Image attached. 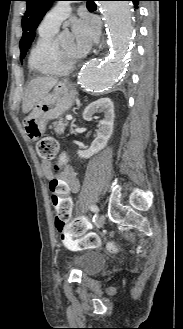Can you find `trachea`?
<instances>
[{"mask_svg": "<svg viewBox=\"0 0 183 329\" xmlns=\"http://www.w3.org/2000/svg\"><path fill=\"white\" fill-rule=\"evenodd\" d=\"M92 4V2H87V5L89 6V5H91Z\"/></svg>", "mask_w": 183, "mask_h": 329, "instance_id": "obj_1", "label": "trachea"}]
</instances>
